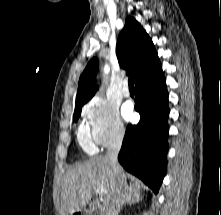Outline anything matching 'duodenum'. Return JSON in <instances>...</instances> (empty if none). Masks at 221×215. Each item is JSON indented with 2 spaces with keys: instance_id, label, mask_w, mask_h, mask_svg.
Returning <instances> with one entry per match:
<instances>
[{
  "instance_id": "obj_1",
  "label": "duodenum",
  "mask_w": 221,
  "mask_h": 215,
  "mask_svg": "<svg viewBox=\"0 0 221 215\" xmlns=\"http://www.w3.org/2000/svg\"><path fill=\"white\" fill-rule=\"evenodd\" d=\"M74 215H88L86 212H76Z\"/></svg>"
}]
</instances>
